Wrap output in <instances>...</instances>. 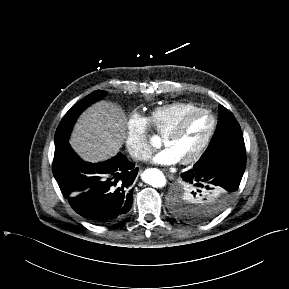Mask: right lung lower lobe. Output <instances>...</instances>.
Masks as SVG:
<instances>
[{"mask_svg": "<svg viewBox=\"0 0 289 289\" xmlns=\"http://www.w3.org/2000/svg\"><path fill=\"white\" fill-rule=\"evenodd\" d=\"M138 168L124 155L102 163H87L68 140L55 147L53 174L71 207L96 224L123 218L133 202L132 183Z\"/></svg>", "mask_w": 289, "mask_h": 289, "instance_id": "obj_1", "label": "right lung lower lobe"}]
</instances>
